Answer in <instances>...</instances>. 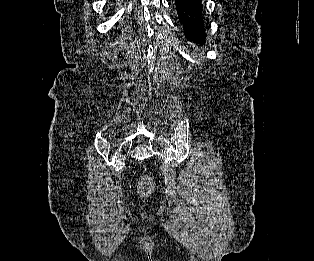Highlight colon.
<instances>
[{
  "label": "colon",
  "mask_w": 314,
  "mask_h": 261,
  "mask_svg": "<svg viewBox=\"0 0 314 261\" xmlns=\"http://www.w3.org/2000/svg\"><path fill=\"white\" fill-rule=\"evenodd\" d=\"M153 191H154L153 181L148 177L142 178L140 183H139L140 195L143 197H148L153 193Z\"/></svg>",
  "instance_id": "obj_1"
}]
</instances>
